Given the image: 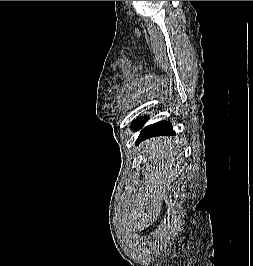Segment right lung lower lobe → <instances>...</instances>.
I'll use <instances>...</instances> for the list:
<instances>
[{
	"label": "right lung lower lobe",
	"instance_id": "1",
	"mask_svg": "<svg viewBox=\"0 0 253 266\" xmlns=\"http://www.w3.org/2000/svg\"><path fill=\"white\" fill-rule=\"evenodd\" d=\"M138 130V129H135ZM175 131L172 128V124L170 122L162 121L159 122L158 124L151 126V127H146L142 129L138 139H137V144L141 140H145L150 137H155V136H160V135H174Z\"/></svg>",
	"mask_w": 253,
	"mask_h": 266
}]
</instances>
